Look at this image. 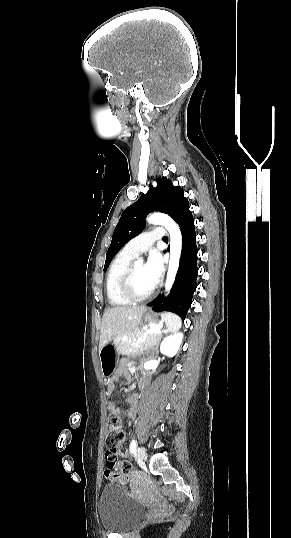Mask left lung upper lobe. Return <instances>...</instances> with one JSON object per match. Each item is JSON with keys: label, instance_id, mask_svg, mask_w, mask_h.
Returning <instances> with one entry per match:
<instances>
[{"label": "left lung upper lobe", "instance_id": "5c2ea615", "mask_svg": "<svg viewBox=\"0 0 291 538\" xmlns=\"http://www.w3.org/2000/svg\"><path fill=\"white\" fill-rule=\"evenodd\" d=\"M146 194L124 210L116 225L110 247L106 254L104 271L113 256L144 229V220L150 212L159 210L171 216L177 223L189 210V202L180 187H174L166 177L157 178V186H149Z\"/></svg>", "mask_w": 291, "mask_h": 538}]
</instances>
